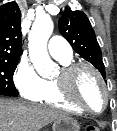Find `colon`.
Instances as JSON below:
<instances>
[{
	"label": "colon",
	"instance_id": "colon-1",
	"mask_svg": "<svg viewBox=\"0 0 117 131\" xmlns=\"http://www.w3.org/2000/svg\"><path fill=\"white\" fill-rule=\"evenodd\" d=\"M85 131H101L99 127L95 125H89L86 127Z\"/></svg>",
	"mask_w": 117,
	"mask_h": 131
}]
</instances>
